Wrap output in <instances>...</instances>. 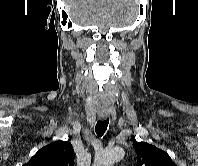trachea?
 <instances>
[{
    "mask_svg": "<svg viewBox=\"0 0 198 166\" xmlns=\"http://www.w3.org/2000/svg\"><path fill=\"white\" fill-rule=\"evenodd\" d=\"M108 124H109V118L104 119L102 121L101 120L97 121V124L95 126V132L99 137L104 135V133L107 130Z\"/></svg>",
    "mask_w": 198,
    "mask_h": 166,
    "instance_id": "3493384b",
    "label": "trachea"
}]
</instances>
